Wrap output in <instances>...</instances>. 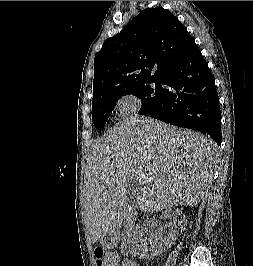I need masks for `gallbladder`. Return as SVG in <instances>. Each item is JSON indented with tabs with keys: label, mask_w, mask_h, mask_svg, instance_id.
I'll use <instances>...</instances> for the list:
<instances>
[{
	"label": "gallbladder",
	"mask_w": 253,
	"mask_h": 266,
	"mask_svg": "<svg viewBox=\"0 0 253 266\" xmlns=\"http://www.w3.org/2000/svg\"><path fill=\"white\" fill-rule=\"evenodd\" d=\"M127 192H129L130 191V187H129V184H127Z\"/></svg>",
	"instance_id": "gallbladder-1"
}]
</instances>
